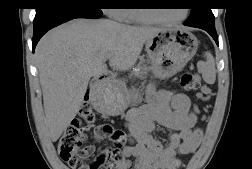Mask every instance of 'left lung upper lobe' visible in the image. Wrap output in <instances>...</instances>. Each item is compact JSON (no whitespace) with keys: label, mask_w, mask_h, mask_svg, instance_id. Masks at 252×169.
I'll return each instance as SVG.
<instances>
[{"label":"left lung upper lobe","mask_w":252,"mask_h":169,"mask_svg":"<svg viewBox=\"0 0 252 169\" xmlns=\"http://www.w3.org/2000/svg\"><path fill=\"white\" fill-rule=\"evenodd\" d=\"M195 6L191 8V14L184 22L186 26L198 28H215V17L208 6L211 0H193Z\"/></svg>","instance_id":"obj_1"}]
</instances>
